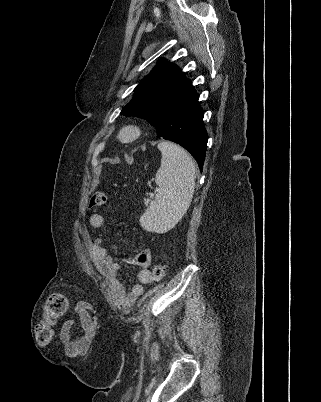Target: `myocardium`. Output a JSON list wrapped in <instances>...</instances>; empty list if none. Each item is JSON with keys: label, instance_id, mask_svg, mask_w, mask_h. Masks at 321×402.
I'll return each mask as SVG.
<instances>
[{"label": "myocardium", "instance_id": "1", "mask_svg": "<svg viewBox=\"0 0 321 402\" xmlns=\"http://www.w3.org/2000/svg\"><path fill=\"white\" fill-rule=\"evenodd\" d=\"M143 128L138 123H127L119 131L118 138L123 143H133L142 135Z\"/></svg>", "mask_w": 321, "mask_h": 402}]
</instances>
